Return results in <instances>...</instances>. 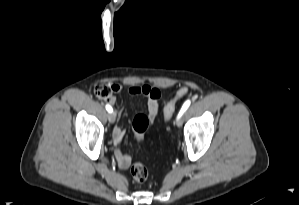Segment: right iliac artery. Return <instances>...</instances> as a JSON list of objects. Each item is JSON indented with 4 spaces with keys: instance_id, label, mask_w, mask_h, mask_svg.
Segmentation results:
<instances>
[{
    "instance_id": "82829eb1",
    "label": "right iliac artery",
    "mask_w": 299,
    "mask_h": 205,
    "mask_svg": "<svg viewBox=\"0 0 299 205\" xmlns=\"http://www.w3.org/2000/svg\"><path fill=\"white\" fill-rule=\"evenodd\" d=\"M106 110L110 113L113 111L112 107L110 105H106Z\"/></svg>"
}]
</instances>
